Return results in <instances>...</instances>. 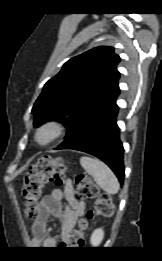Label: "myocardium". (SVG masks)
<instances>
[{
    "label": "myocardium",
    "instance_id": "obj_1",
    "mask_svg": "<svg viewBox=\"0 0 162 261\" xmlns=\"http://www.w3.org/2000/svg\"><path fill=\"white\" fill-rule=\"evenodd\" d=\"M64 125L59 120H49L39 126L34 140L40 146H46L59 138L64 132Z\"/></svg>",
    "mask_w": 162,
    "mask_h": 261
}]
</instances>
